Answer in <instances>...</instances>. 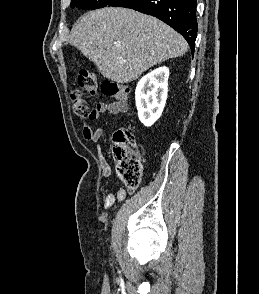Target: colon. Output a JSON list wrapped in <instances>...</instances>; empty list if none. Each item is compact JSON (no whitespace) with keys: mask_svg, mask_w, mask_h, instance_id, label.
Segmentation results:
<instances>
[{"mask_svg":"<svg viewBox=\"0 0 259 294\" xmlns=\"http://www.w3.org/2000/svg\"><path fill=\"white\" fill-rule=\"evenodd\" d=\"M78 85L80 90H74L70 96L73 112L79 117H90L93 108L90 107L84 93H96L97 75L92 71L82 70L78 75ZM101 90L104 95L121 101L129 94L127 87L109 80L102 83ZM113 153L117 176L129 190H135L140 184L143 166L130 130L122 129L115 133Z\"/></svg>","mask_w":259,"mask_h":294,"instance_id":"colon-1","label":"colon"}]
</instances>
